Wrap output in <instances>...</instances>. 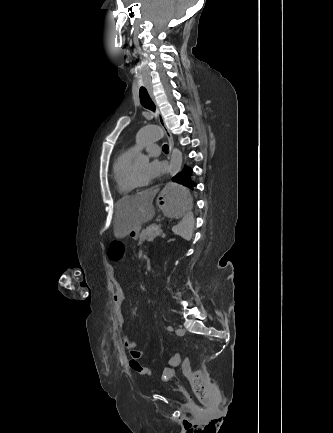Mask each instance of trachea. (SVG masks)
Listing matches in <instances>:
<instances>
[{
  "mask_svg": "<svg viewBox=\"0 0 333 433\" xmlns=\"http://www.w3.org/2000/svg\"><path fill=\"white\" fill-rule=\"evenodd\" d=\"M139 96H140V102H141L142 106L145 107L146 109H149V110L155 112V110H156L155 104L150 99L148 92L145 88H143V87L140 88ZM162 149L164 152H168V145L164 144Z\"/></svg>",
  "mask_w": 333,
  "mask_h": 433,
  "instance_id": "trachea-1",
  "label": "trachea"
}]
</instances>
